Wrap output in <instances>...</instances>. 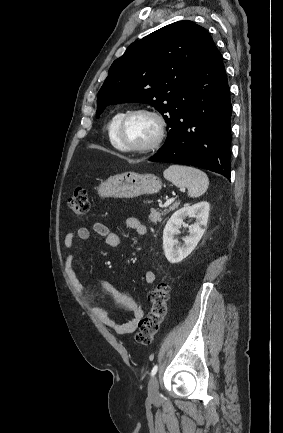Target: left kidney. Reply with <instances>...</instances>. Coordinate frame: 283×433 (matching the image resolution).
<instances>
[{"label": "left kidney", "instance_id": "5707ae66", "mask_svg": "<svg viewBox=\"0 0 283 433\" xmlns=\"http://www.w3.org/2000/svg\"><path fill=\"white\" fill-rule=\"evenodd\" d=\"M209 210V203L202 201L177 210L168 220L163 231V249L170 263L181 262L195 249L205 232ZM187 217H195L196 222L189 226L185 225L183 220ZM182 225L189 227V235L183 238L184 244L179 246L175 235L180 233L179 228Z\"/></svg>", "mask_w": 283, "mask_h": 433}]
</instances>
